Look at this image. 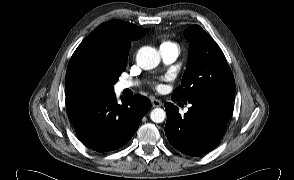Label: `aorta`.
Segmentation results:
<instances>
[{
    "mask_svg": "<svg viewBox=\"0 0 294 180\" xmlns=\"http://www.w3.org/2000/svg\"><path fill=\"white\" fill-rule=\"evenodd\" d=\"M136 60L142 69L151 70L159 65L160 55L156 49L144 46L138 51ZM150 118L154 123H162L166 118V112L162 108H155L151 111Z\"/></svg>",
    "mask_w": 294,
    "mask_h": 180,
    "instance_id": "obj_1",
    "label": "aorta"
}]
</instances>
